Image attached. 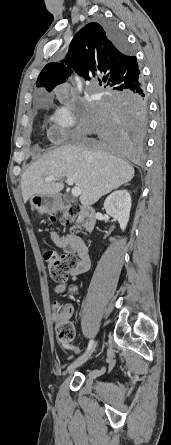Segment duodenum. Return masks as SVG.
<instances>
[{
    "mask_svg": "<svg viewBox=\"0 0 171 445\" xmlns=\"http://www.w3.org/2000/svg\"><path fill=\"white\" fill-rule=\"evenodd\" d=\"M68 203L64 195L58 197V209L60 212H66ZM80 219L83 229L86 233H91L95 226V212L90 206L80 207Z\"/></svg>",
    "mask_w": 171,
    "mask_h": 445,
    "instance_id": "1",
    "label": "duodenum"
}]
</instances>
